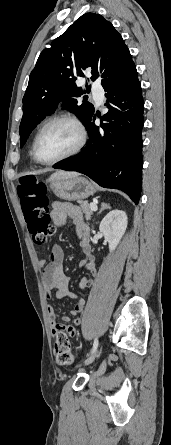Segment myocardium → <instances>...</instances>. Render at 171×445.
I'll return each instance as SVG.
<instances>
[{"label": "myocardium", "mask_w": 171, "mask_h": 445, "mask_svg": "<svg viewBox=\"0 0 171 445\" xmlns=\"http://www.w3.org/2000/svg\"><path fill=\"white\" fill-rule=\"evenodd\" d=\"M57 123H68L71 124L75 127V129L77 130L78 133V141L77 144L75 145V147L70 150L69 152H67L66 154L54 159V160H50V161H45L42 160L37 152V146H38V141L41 137V135L43 134V132L50 127L53 124H57ZM87 140V131L86 128L84 126V124L76 117L74 116H70V115H61V116H56L53 117L51 119H49L38 131V133L36 134L34 141H33V146H32V154H33V158L34 160L42 165H54L58 162H61L65 159H68L70 157H73L75 155H77L82 148L84 147L85 143Z\"/></svg>", "instance_id": "1"}]
</instances>
